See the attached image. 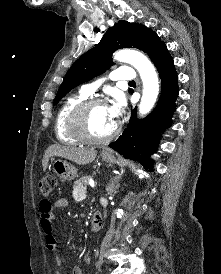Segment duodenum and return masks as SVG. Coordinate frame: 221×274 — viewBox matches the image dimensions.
<instances>
[{"label":"duodenum","instance_id":"410a0bca","mask_svg":"<svg viewBox=\"0 0 221 274\" xmlns=\"http://www.w3.org/2000/svg\"><path fill=\"white\" fill-rule=\"evenodd\" d=\"M102 226V215L99 211H95L92 215L90 231L95 233L100 230Z\"/></svg>","mask_w":221,"mask_h":274}]
</instances>
